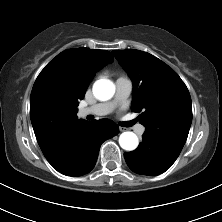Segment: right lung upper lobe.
Wrapping results in <instances>:
<instances>
[{"label":"right lung upper lobe","instance_id":"obj_1","mask_svg":"<svg viewBox=\"0 0 222 222\" xmlns=\"http://www.w3.org/2000/svg\"><path fill=\"white\" fill-rule=\"evenodd\" d=\"M113 62L106 50L68 49L58 54L37 77L30 97V117L41 150L51 149L61 134L75 128L79 100L99 69Z\"/></svg>","mask_w":222,"mask_h":222}]
</instances>
